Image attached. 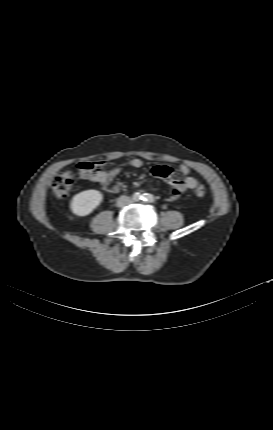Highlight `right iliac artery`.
<instances>
[{"instance_id": "obj_1", "label": "right iliac artery", "mask_w": 273, "mask_h": 430, "mask_svg": "<svg viewBox=\"0 0 273 430\" xmlns=\"http://www.w3.org/2000/svg\"><path fill=\"white\" fill-rule=\"evenodd\" d=\"M144 194H140V193H136L134 195V200L138 201V200H142Z\"/></svg>"}]
</instances>
